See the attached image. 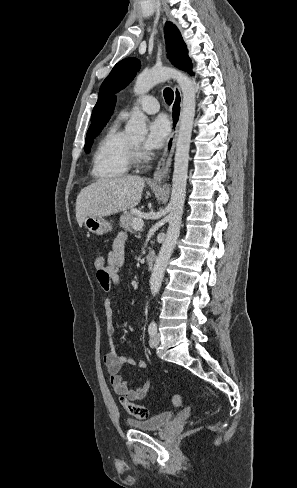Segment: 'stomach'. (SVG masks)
<instances>
[{
  "mask_svg": "<svg viewBox=\"0 0 297 488\" xmlns=\"http://www.w3.org/2000/svg\"><path fill=\"white\" fill-rule=\"evenodd\" d=\"M84 225L89 232L97 235L111 232L113 229L110 222L102 217L95 216H88L87 218H85Z\"/></svg>",
  "mask_w": 297,
  "mask_h": 488,
  "instance_id": "stomach-1",
  "label": "stomach"
}]
</instances>
